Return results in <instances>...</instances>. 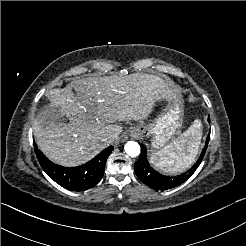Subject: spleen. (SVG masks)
Listing matches in <instances>:
<instances>
[{"label":"spleen","mask_w":246,"mask_h":246,"mask_svg":"<svg viewBox=\"0 0 246 246\" xmlns=\"http://www.w3.org/2000/svg\"><path fill=\"white\" fill-rule=\"evenodd\" d=\"M202 138V124H193L169 145L151 156V163L162 172L175 175L186 171L195 161Z\"/></svg>","instance_id":"3e777b00"}]
</instances>
